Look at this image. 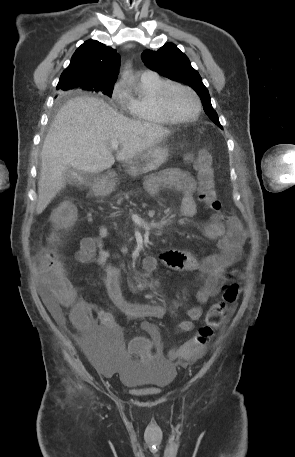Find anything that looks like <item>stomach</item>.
<instances>
[{"mask_svg":"<svg viewBox=\"0 0 295 457\" xmlns=\"http://www.w3.org/2000/svg\"><path fill=\"white\" fill-rule=\"evenodd\" d=\"M169 157V146L165 140L139 153L126 162V172L133 176H140L161 166ZM116 185L115 173L109 171L106 175L97 178L92 183L94 192L102 195L112 192Z\"/></svg>","mask_w":295,"mask_h":457,"instance_id":"0dacf381","label":"stomach"}]
</instances>
